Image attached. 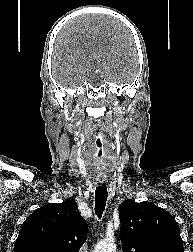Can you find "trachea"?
<instances>
[{
  "mask_svg": "<svg viewBox=\"0 0 193 252\" xmlns=\"http://www.w3.org/2000/svg\"><path fill=\"white\" fill-rule=\"evenodd\" d=\"M107 187L106 185H101L96 187L95 191V213L98 218H100L105 210L106 201H107Z\"/></svg>",
  "mask_w": 193,
  "mask_h": 252,
  "instance_id": "obj_1",
  "label": "trachea"
}]
</instances>
